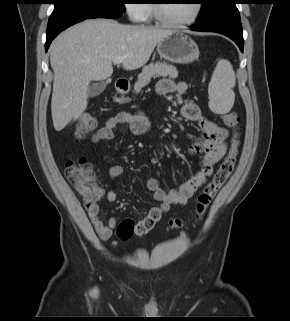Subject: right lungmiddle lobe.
I'll return each mask as SVG.
<instances>
[{
  "instance_id": "1",
  "label": "right lung middle lobe",
  "mask_w": 290,
  "mask_h": 321,
  "mask_svg": "<svg viewBox=\"0 0 290 321\" xmlns=\"http://www.w3.org/2000/svg\"><path fill=\"white\" fill-rule=\"evenodd\" d=\"M124 1L125 0H53L55 6L50 17L117 14L126 10Z\"/></svg>"
}]
</instances>
